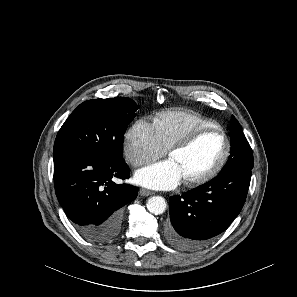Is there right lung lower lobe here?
Returning <instances> with one entry per match:
<instances>
[{
	"label": "right lung lower lobe",
	"mask_w": 297,
	"mask_h": 297,
	"mask_svg": "<svg viewBox=\"0 0 297 297\" xmlns=\"http://www.w3.org/2000/svg\"><path fill=\"white\" fill-rule=\"evenodd\" d=\"M56 196L76 230L93 242H106L120 231L122 207L137 197L138 189L116 184L127 179L126 163L82 151L54 153Z\"/></svg>",
	"instance_id": "right-lung-lower-lobe-1"
}]
</instances>
